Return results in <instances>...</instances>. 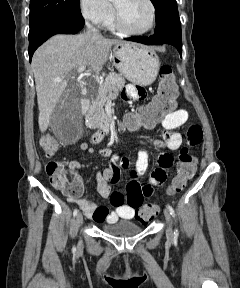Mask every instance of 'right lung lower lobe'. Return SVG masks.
I'll use <instances>...</instances> for the list:
<instances>
[{
    "instance_id": "right-lung-lower-lobe-1",
    "label": "right lung lower lobe",
    "mask_w": 240,
    "mask_h": 288,
    "mask_svg": "<svg viewBox=\"0 0 240 288\" xmlns=\"http://www.w3.org/2000/svg\"><path fill=\"white\" fill-rule=\"evenodd\" d=\"M84 26V21L53 20L42 25L32 36L29 37V59L35 50L49 37L55 34H75Z\"/></svg>"
}]
</instances>
